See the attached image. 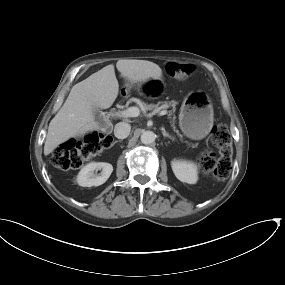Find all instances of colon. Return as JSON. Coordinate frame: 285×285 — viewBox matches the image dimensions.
Listing matches in <instances>:
<instances>
[{
  "instance_id": "colon-1",
  "label": "colon",
  "mask_w": 285,
  "mask_h": 285,
  "mask_svg": "<svg viewBox=\"0 0 285 285\" xmlns=\"http://www.w3.org/2000/svg\"><path fill=\"white\" fill-rule=\"evenodd\" d=\"M166 70L170 76L186 80L194 72V66L169 62ZM210 140L219 155L217 156L208 149L200 153L199 163L202 173L204 176L223 180L229 175L232 164V145L227 127L223 124L214 126L211 130ZM107 144L105 138L96 134L88 135L80 141L69 139L53 152L51 161L55 167L61 170L77 169L89 155L106 147Z\"/></svg>"
}]
</instances>
